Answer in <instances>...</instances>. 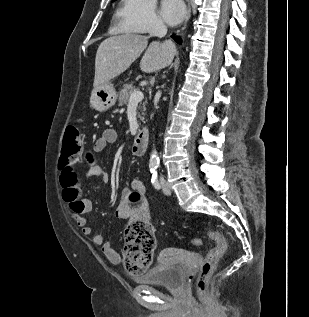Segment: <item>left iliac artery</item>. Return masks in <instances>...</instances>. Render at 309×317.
Returning <instances> with one entry per match:
<instances>
[{"instance_id":"1","label":"left iliac artery","mask_w":309,"mask_h":317,"mask_svg":"<svg viewBox=\"0 0 309 317\" xmlns=\"http://www.w3.org/2000/svg\"><path fill=\"white\" fill-rule=\"evenodd\" d=\"M153 186L156 188V189H159L160 188V185L158 183V175H157V172H155L153 175H152V180H151Z\"/></svg>"}]
</instances>
